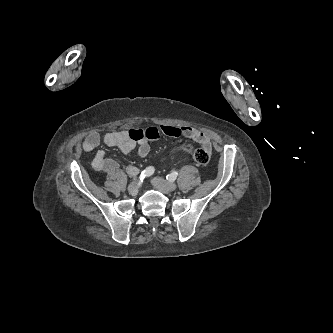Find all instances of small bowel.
Here are the masks:
<instances>
[{
	"label": "small bowel",
	"mask_w": 333,
	"mask_h": 333,
	"mask_svg": "<svg viewBox=\"0 0 333 333\" xmlns=\"http://www.w3.org/2000/svg\"><path fill=\"white\" fill-rule=\"evenodd\" d=\"M160 134L191 138L208 153L212 150L211 140L206 133L189 126L172 125H161L160 127H148L129 131L117 130L105 134L103 139H101L98 133L94 132L86 137L82 146L85 151H93L103 141L105 145L116 147L123 153H130L134 149H137L139 157L144 158L150 151L148 141L158 138ZM91 164L96 170L108 173H114L117 169V163L112 159H108L103 150L96 151Z\"/></svg>",
	"instance_id": "c3829d8e"
}]
</instances>
